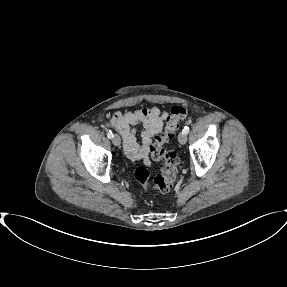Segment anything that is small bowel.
Listing matches in <instances>:
<instances>
[{
	"instance_id": "1",
	"label": "small bowel",
	"mask_w": 287,
	"mask_h": 287,
	"mask_svg": "<svg viewBox=\"0 0 287 287\" xmlns=\"http://www.w3.org/2000/svg\"><path fill=\"white\" fill-rule=\"evenodd\" d=\"M167 116V112L156 107L116 112L110 119V125L122 136L128 157L132 161H142L149 165L150 146L154 137L162 130ZM136 126L142 127L140 143L136 139Z\"/></svg>"
}]
</instances>
